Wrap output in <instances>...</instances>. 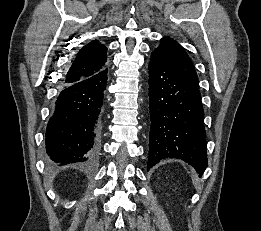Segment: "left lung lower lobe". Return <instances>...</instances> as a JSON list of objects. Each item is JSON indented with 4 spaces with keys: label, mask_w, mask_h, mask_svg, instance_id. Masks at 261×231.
<instances>
[{
    "label": "left lung lower lobe",
    "mask_w": 261,
    "mask_h": 231,
    "mask_svg": "<svg viewBox=\"0 0 261 231\" xmlns=\"http://www.w3.org/2000/svg\"><path fill=\"white\" fill-rule=\"evenodd\" d=\"M149 159H181L202 174L207 167L204 110L199 87L151 54L149 62Z\"/></svg>",
    "instance_id": "left-lung-lower-lobe-1"
}]
</instances>
